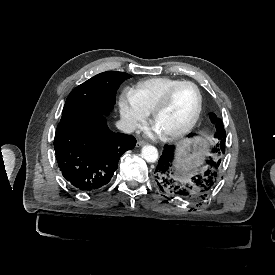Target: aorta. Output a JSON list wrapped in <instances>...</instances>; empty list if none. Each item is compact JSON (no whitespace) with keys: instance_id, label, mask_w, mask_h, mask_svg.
Wrapping results in <instances>:
<instances>
[{"instance_id":"1","label":"aorta","mask_w":275,"mask_h":275,"mask_svg":"<svg viewBox=\"0 0 275 275\" xmlns=\"http://www.w3.org/2000/svg\"><path fill=\"white\" fill-rule=\"evenodd\" d=\"M141 155L147 162L154 163L158 159V150L152 145H145L141 150Z\"/></svg>"}]
</instances>
